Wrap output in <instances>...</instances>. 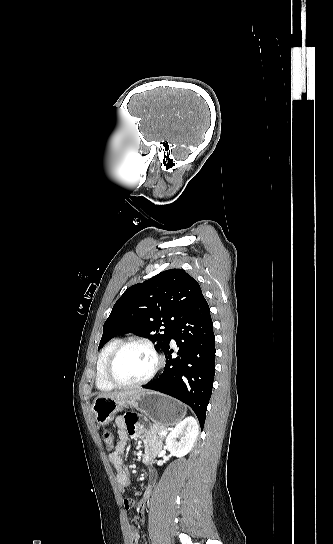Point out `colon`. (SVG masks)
<instances>
[{
	"label": "colon",
	"instance_id": "5ec220e1",
	"mask_svg": "<svg viewBox=\"0 0 333 544\" xmlns=\"http://www.w3.org/2000/svg\"><path fill=\"white\" fill-rule=\"evenodd\" d=\"M103 441L107 448L111 449L113 446V438L109 430L104 429L102 433Z\"/></svg>",
	"mask_w": 333,
	"mask_h": 544
}]
</instances>
